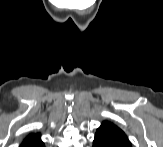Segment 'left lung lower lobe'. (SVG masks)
<instances>
[{
    "label": "left lung lower lobe",
    "mask_w": 163,
    "mask_h": 147,
    "mask_svg": "<svg viewBox=\"0 0 163 147\" xmlns=\"http://www.w3.org/2000/svg\"><path fill=\"white\" fill-rule=\"evenodd\" d=\"M93 147H131V145L122 130L99 127L96 130Z\"/></svg>",
    "instance_id": "obj_1"
}]
</instances>
